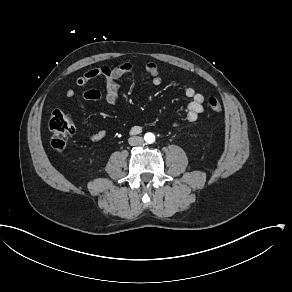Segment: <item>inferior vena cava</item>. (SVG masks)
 Returning <instances> with one entry per match:
<instances>
[{
    "label": "inferior vena cava",
    "mask_w": 292,
    "mask_h": 292,
    "mask_svg": "<svg viewBox=\"0 0 292 292\" xmlns=\"http://www.w3.org/2000/svg\"><path fill=\"white\" fill-rule=\"evenodd\" d=\"M128 143L131 146H135V145H142L144 143V140L142 137L140 136H132L128 139Z\"/></svg>",
    "instance_id": "1"
}]
</instances>
